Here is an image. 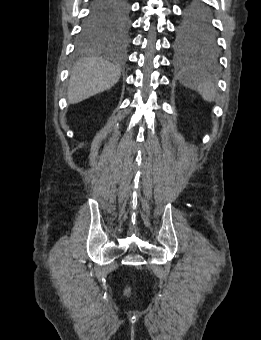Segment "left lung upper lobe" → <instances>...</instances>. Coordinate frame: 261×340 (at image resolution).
I'll return each mask as SVG.
<instances>
[{
    "instance_id": "left-lung-upper-lobe-1",
    "label": "left lung upper lobe",
    "mask_w": 261,
    "mask_h": 340,
    "mask_svg": "<svg viewBox=\"0 0 261 340\" xmlns=\"http://www.w3.org/2000/svg\"><path fill=\"white\" fill-rule=\"evenodd\" d=\"M176 44L180 50L198 52L209 57L217 55V38L211 16L199 0L185 11L178 26Z\"/></svg>"
}]
</instances>
